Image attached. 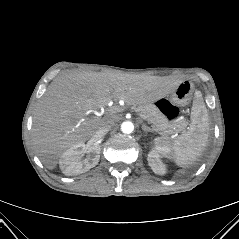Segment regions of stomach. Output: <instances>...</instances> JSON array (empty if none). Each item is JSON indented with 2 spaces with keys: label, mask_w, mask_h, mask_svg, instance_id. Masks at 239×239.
<instances>
[{
  "label": "stomach",
  "mask_w": 239,
  "mask_h": 239,
  "mask_svg": "<svg viewBox=\"0 0 239 239\" xmlns=\"http://www.w3.org/2000/svg\"><path fill=\"white\" fill-rule=\"evenodd\" d=\"M194 84L183 80L171 91L170 98L162 97L155 101L162 110L163 117L169 122H178L185 115V106L191 99Z\"/></svg>",
  "instance_id": "obj_1"
}]
</instances>
